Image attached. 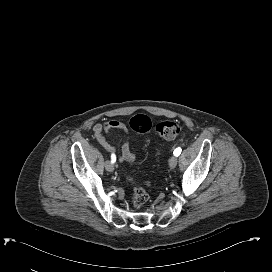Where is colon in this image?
Returning a JSON list of instances; mask_svg holds the SVG:
<instances>
[{"label": "colon", "mask_w": 272, "mask_h": 272, "mask_svg": "<svg viewBox=\"0 0 272 272\" xmlns=\"http://www.w3.org/2000/svg\"><path fill=\"white\" fill-rule=\"evenodd\" d=\"M129 125L134 132L144 134L152 128V121L148 116L139 114L131 118ZM155 130L162 139L171 140L180 134L181 125L175 120H164L155 125ZM131 180L134 183L132 203L134 207L141 208L147 202L148 194L134 179Z\"/></svg>", "instance_id": "obj_1"}]
</instances>
